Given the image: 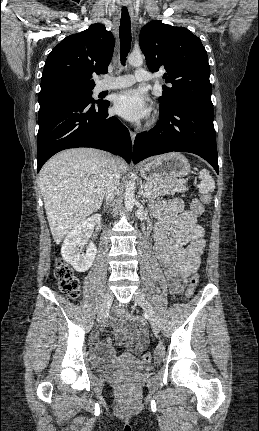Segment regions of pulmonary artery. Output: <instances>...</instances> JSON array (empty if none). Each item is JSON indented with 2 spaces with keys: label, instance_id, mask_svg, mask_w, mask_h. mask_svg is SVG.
<instances>
[{
  "label": "pulmonary artery",
  "instance_id": "1",
  "mask_svg": "<svg viewBox=\"0 0 259 431\" xmlns=\"http://www.w3.org/2000/svg\"><path fill=\"white\" fill-rule=\"evenodd\" d=\"M151 76L145 69L139 68L134 75H120L107 77L99 85V91L122 89L131 86L135 82H148Z\"/></svg>",
  "mask_w": 259,
  "mask_h": 431
}]
</instances>
